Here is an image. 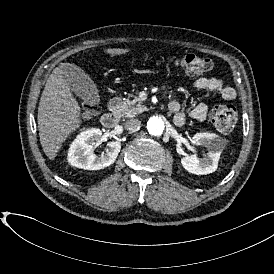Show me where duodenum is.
I'll return each mask as SVG.
<instances>
[{
  "instance_id": "obj_1",
  "label": "duodenum",
  "mask_w": 274,
  "mask_h": 274,
  "mask_svg": "<svg viewBox=\"0 0 274 274\" xmlns=\"http://www.w3.org/2000/svg\"><path fill=\"white\" fill-rule=\"evenodd\" d=\"M119 105L120 99L118 97H112L109 100V111L105 113L101 118L102 126L105 129H114L119 124Z\"/></svg>"
}]
</instances>
